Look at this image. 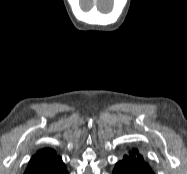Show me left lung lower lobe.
Returning <instances> with one entry per match:
<instances>
[{
  "label": "left lung lower lobe",
  "mask_w": 187,
  "mask_h": 174,
  "mask_svg": "<svg viewBox=\"0 0 187 174\" xmlns=\"http://www.w3.org/2000/svg\"><path fill=\"white\" fill-rule=\"evenodd\" d=\"M113 174H154V172L151 168H129L118 162L113 170Z\"/></svg>",
  "instance_id": "0a47b994"
}]
</instances>
